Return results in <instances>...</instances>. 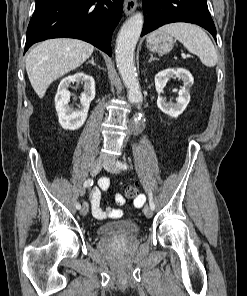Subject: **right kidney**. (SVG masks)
<instances>
[{
  "mask_svg": "<svg viewBox=\"0 0 247 296\" xmlns=\"http://www.w3.org/2000/svg\"><path fill=\"white\" fill-rule=\"evenodd\" d=\"M84 84V91L81 93L79 109L69 106L70 92L68 90L71 83ZM95 98V81L92 76L84 72H77L63 78L58 86L55 96V107L59 118V123L64 129H79L87 119V113L91 101Z\"/></svg>",
  "mask_w": 247,
  "mask_h": 296,
  "instance_id": "1",
  "label": "right kidney"
}]
</instances>
